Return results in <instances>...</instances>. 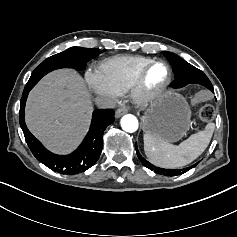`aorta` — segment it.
<instances>
[{
    "instance_id": "obj_1",
    "label": "aorta",
    "mask_w": 237,
    "mask_h": 237,
    "mask_svg": "<svg viewBox=\"0 0 237 237\" xmlns=\"http://www.w3.org/2000/svg\"><path fill=\"white\" fill-rule=\"evenodd\" d=\"M121 127L124 131L133 133L138 129V120L132 114H126L121 118Z\"/></svg>"
}]
</instances>
